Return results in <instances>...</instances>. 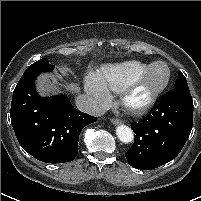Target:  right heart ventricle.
Returning <instances> with one entry per match:
<instances>
[{
  "instance_id": "obj_1",
  "label": "right heart ventricle",
  "mask_w": 201,
  "mask_h": 201,
  "mask_svg": "<svg viewBox=\"0 0 201 201\" xmlns=\"http://www.w3.org/2000/svg\"><path fill=\"white\" fill-rule=\"evenodd\" d=\"M150 64L136 60L107 65L97 73L106 87L120 93L134 78L140 75Z\"/></svg>"
}]
</instances>
